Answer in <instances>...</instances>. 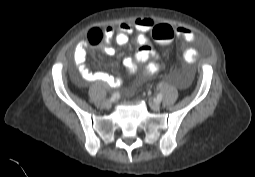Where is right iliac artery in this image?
<instances>
[{"instance_id":"1","label":"right iliac artery","mask_w":255,"mask_h":177,"mask_svg":"<svg viewBox=\"0 0 255 177\" xmlns=\"http://www.w3.org/2000/svg\"><path fill=\"white\" fill-rule=\"evenodd\" d=\"M119 98H120V95H119L118 92H115V93L112 94L111 99H112L113 101L118 100Z\"/></svg>"}]
</instances>
